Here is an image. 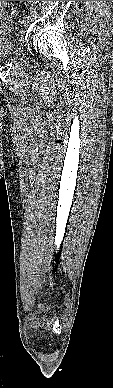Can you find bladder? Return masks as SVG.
Instances as JSON below:
<instances>
[{"label": "bladder", "instance_id": "31cf9c89", "mask_svg": "<svg viewBox=\"0 0 113 388\" xmlns=\"http://www.w3.org/2000/svg\"><path fill=\"white\" fill-rule=\"evenodd\" d=\"M12 28L11 20L5 14L0 20V37L8 33ZM12 53L10 41L0 38V60L8 57Z\"/></svg>", "mask_w": 113, "mask_h": 388}]
</instances>
